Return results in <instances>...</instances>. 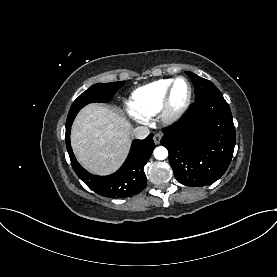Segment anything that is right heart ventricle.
Masks as SVG:
<instances>
[{
	"label": "right heart ventricle",
	"mask_w": 277,
	"mask_h": 277,
	"mask_svg": "<svg viewBox=\"0 0 277 277\" xmlns=\"http://www.w3.org/2000/svg\"><path fill=\"white\" fill-rule=\"evenodd\" d=\"M173 80L172 78L157 80L134 90L128 102L130 110L143 117L156 114Z\"/></svg>",
	"instance_id": "1"
}]
</instances>
